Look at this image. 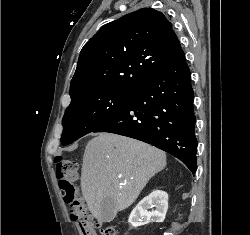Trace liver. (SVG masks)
<instances>
[{
  "mask_svg": "<svg viewBox=\"0 0 250 235\" xmlns=\"http://www.w3.org/2000/svg\"><path fill=\"white\" fill-rule=\"evenodd\" d=\"M165 152L113 133H99L84 152L81 189L92 215L100 219L101 203L115 200L117 211L128 208L148 181L166 166Z\"/></svg>",
  "mask_w": 250,
  "mask_h": 235,
  "instance_id": "1",
  "label": "liver"
}]
</instances>
